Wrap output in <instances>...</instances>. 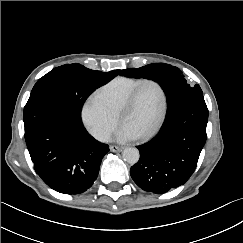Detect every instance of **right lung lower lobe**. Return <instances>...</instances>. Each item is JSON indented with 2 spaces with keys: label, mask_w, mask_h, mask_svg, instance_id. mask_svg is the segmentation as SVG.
<instances>
[{
  "label": "right lung lower lobe",
  "mask_w": 243,
  "mask_h": 243,
  "mask_svg": "<svg viewBox=\"0 0 243 243\" xmlns=\"http://www.w3.org/2000/svg\"><path fill=\"white\" fill-rule=\"evenodd\" d=\"M23 119L27 148L40 178L64 194L90 188L109 146L86 131L81 114L62 100L35 95L26 103Z\"/></svg>",
  "instance_id": "right-lung-lower-lobe-1"
}]
</instances>
